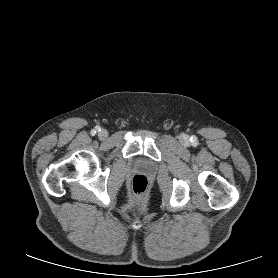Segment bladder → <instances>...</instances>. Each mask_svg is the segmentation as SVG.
I'll list each match as a JSON object with an SVG mask.
<instances>
[{"mask_svg":"<svg viewBox=\"0 0 278 278\" xmlns=\"http://www.w3.org/2000/svg\"><path fill=\"white\" fill-rule=\"evenodd\" d=\"M138 165H139V166H145L146 163H145L143 160H139V161H138Z\"/></svg>","mask_w":278,"mask_h":278,"instance_id":"obj_1","label":"bladder"}]
</instances>
